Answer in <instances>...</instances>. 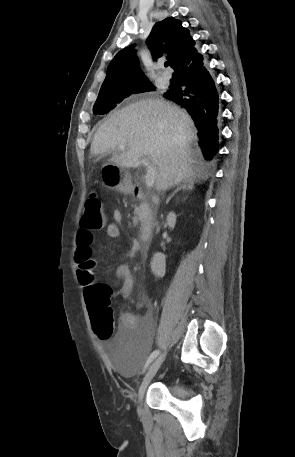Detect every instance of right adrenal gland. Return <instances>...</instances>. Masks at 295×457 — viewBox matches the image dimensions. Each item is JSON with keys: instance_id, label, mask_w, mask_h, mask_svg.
<instances>
[{"instance_id": "1", "label": "right adrenal gland", "mask_w": 295, "mask_h": 457, "mask_svg": "<svg viewBox=\"0 0 295 457\" xmlns=\"http://www.w3.org/2000/svg\"><path fill=\"white\" fill-rule=\"evenodd\" d=\"M194 189V182L193 181H183L179 187L167 198L166 204L170 202V200L173 198V196L178 192V191H192Z\"/></svg>"}]
</instances>
